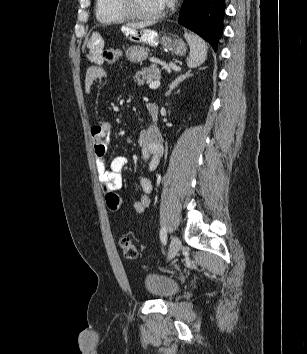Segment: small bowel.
Instances as JSON below:
<instances>
[{
	"mask_svg": "<svg viewBox=\"0 0 307 354\" xmlns=\"http://www.w3.org/2000/svg\"><path fill=\"white\" fill-rule=\"evenodd\" d=\"M124 33L125 38H138L139 35L138 29H125ZM103 49L104 43L101 39L90 40L87 54L90 66L86 69L84 76V88L87 93L91 92L96 81L106 77V71L103 68ZM146 111L152 119L157 117V108L154 105H146ZM111 133L112 125L109 121H102L91 128L96 168L105 201L111 211H118L123 206V199L116 191L122 187V171L127 164V159L124 156H115L111 159L109 167L106 166ZM138 143L148 169L154 170L164 151L159 128L155 124L144 128L139 134ZM138 186L143 195L134 202L133 211L136 214H142L150 206L153 184L149 178L141 177L138 179Z\"/></svg>",
	"mask_w": 307,
	"mask_h": 354,
	"instance_id": "c3829d8e",
	"label": "small bowel"
}]
</instances>
